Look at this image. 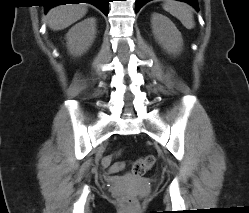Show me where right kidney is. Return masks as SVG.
<instances>
[{
	"label": "right kidney",
	"instance_id": "ca27d5eb",
	"mask_svg": "<svg viewBox=\"0 0 249 213\" xmlns=\"http://www.w3.org/2000/svg\"><path fill=\"white\" fill-rule=\"evenodd\" d=\"M96 35V19L87 18L73 27L66 34V44L73 56H81L92 45Z\"/></svg>",
	"mask_w": 249,
	"mask_h": 213
}]
</instances>
